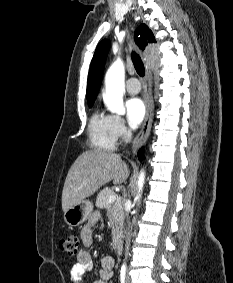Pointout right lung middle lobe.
<instances>
[{
	"label": "right lung middle lobe",
	"mask_w": 233,
	"mask_h": 283,
	"mask_svg": "<svg viewBox=\"0 0 233 283\" xmlns=\"http://www.w3.org/2000/svg\"><path fill=\"white\" fill-rule=\"evenodd\" d=\"M92 106H93V104L89 105V107H92Z\"/></svg>",
	"instance_id": "obj_1"
}]
</instances>
